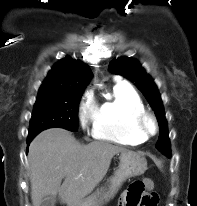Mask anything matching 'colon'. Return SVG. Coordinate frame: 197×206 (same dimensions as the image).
<instances>
[{
    "label": "colon",
    "mask_w": 197,
    "mask_h": 206,
    "mask_svg": "<svg viewBox=\"0 0 197 206\" xmlns=\"http://www.w3.org/2000/svg\"><path fill=\"white\" fill-rule=\"evenodd\" d=\"M152 186L151 180L133 182L127 192L129 206H156L157 196L154 192H147Z\"/></svg>",
    "instance_id": "colon-1"
}]
</instances>
